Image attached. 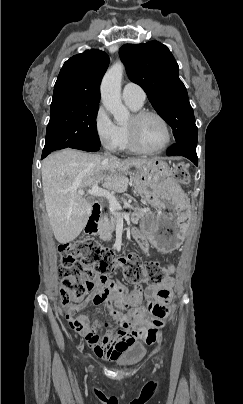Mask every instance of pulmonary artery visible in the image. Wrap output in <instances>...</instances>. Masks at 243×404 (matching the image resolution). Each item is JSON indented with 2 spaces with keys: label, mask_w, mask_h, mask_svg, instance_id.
Segmentation results:
<instances>
[{
  "label": "pulmonary artery",
  "mask_w": 243,
  "mask_h": 404,
  "mask_svg": "<svg viewBox=\"0 0 243 404\" xmlns=\"http://www.w3.org/2000/svg\"><path fill=\"white\" fill-rule=\"evenodd\" d=\"M122 98L124 100H131L139 104H143L146 98V94L139 84L134 82H127L122 87Z\"/></svg>",
  "instance_id": "e3ab8cb5"
}]
</instances>
